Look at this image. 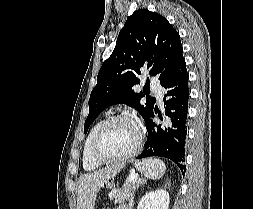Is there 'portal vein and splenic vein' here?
Segmentation results:
<instances>
[{"mask_svg":"<svg viewBox=\"0 0 253 209\" xmlns=\"http://www.w3.org/2000/svg\"><path fill=\"white\" fill-rule=\"evenodd\" d=\"M137 179H138V175H137V174H131V175L129 176V181H130V182H136Z\"/></svg>","mask_w":253,"mask_h":209,"instance_id":"obj_1","label":"portal vein and splenic vein"}]
</instances>
